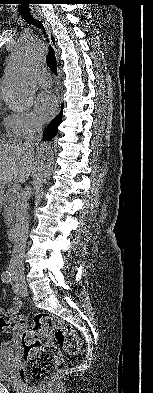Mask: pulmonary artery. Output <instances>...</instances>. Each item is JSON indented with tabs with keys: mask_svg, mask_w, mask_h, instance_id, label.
Wrapping results in <instances>:
<instances>
[{
	"mask_svg": "<svg viewBox=\"0 0 153 393\" xmlns=\"http://www.w3.org/2000/svg\"><path fill=\"white\" fill-rule=\"evenodd\" d=\"M37 81L41 87H49L51 85V77L48 73H41L37 76Z\"/></svg>",
	"mask_w": 153,
	"mask_h": 393,
	"instance_id": "obj_1",
	"label": "pulmonary artery"
}]
</instances>
